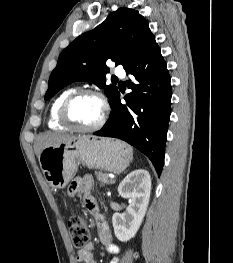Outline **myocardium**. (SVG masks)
Returning <instances> with one entry per match:
<instances>
[{
    "instance_id": "obj_1",
    "label": "myocardium",
    "mask_w": 233,
    "mask_h": 263,
    "mask_svg": "<svg viewBox=\"0 0 233 263\" xmlns=\"http://www.w3.org/2000/svg\"><path fill=\"white\" fill-rule=\"evenodd\" d=\"M82 97H94L96 99H98L102 105V114L101 117L99 119V121L90 127H82L77 125L70 117L69 115V110L72 106V104L79 98ZM108 111H109V106L107 103L106 98L104 97L103 94L94 91V90H89V89H85V90H78L75 91L73 93H71L61 104L60 106V110H59V119L61 121L62 124H64L66 127L73 129L77 132H82V133H92V132H96L98 130H100L107 119V115H108Z\"/></svg>"
}]
</instances>
